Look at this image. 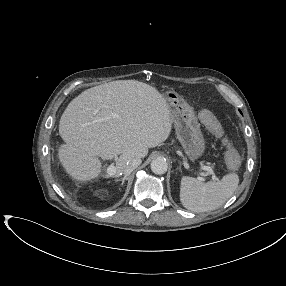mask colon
<instances>
[{
    "instance_id": "1",
    "label": "colon",
    "mask_w": 286,
    "mask_h": 286,
    "mask_svg": "<svg viewBox=\"0 0 286 286\" xmlns=\"http://www.w3.org/2000/svg\"><path fill=\"white\" fill-rule=\"evenodd\" d=\"M199 116L201 122L211 133H213L218 138L223 136V131L218 120L210 111L202 110ZM226 161L229 169L234 170L238 167L239 156L234 149L229 148L226 151Z\"/></svg>"
}]
</instances>
